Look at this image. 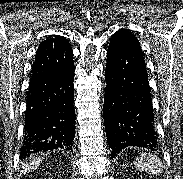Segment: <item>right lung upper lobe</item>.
<instances>
[{"mask_svg":"<svg viewBox=\"0 0 183 179\" xmlns=\"http://www.w3.org/2000/svg\"><path fill=\"white\" fill-rule=\"evenodd\" d=\"M74 69L73 52L63 36H54L39 45L32 67L37 74H65Z\"/></svg>","mask_w":183,"mask_h":179,"instance_id":"cb5924a9","label":"right lung upper lobe"}]
</instances>
